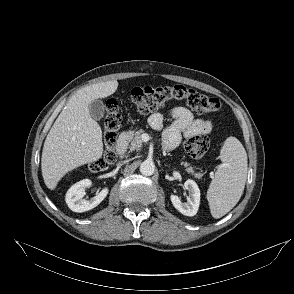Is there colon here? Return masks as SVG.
Listing matches in <instances>:
<instances>
[{
    "instance_id": "1",
    "label": "colon",
    "mask_w": 294,
    "mask_h": 294,
    "mask_svg": "<svg viewBox=\"0 0 294 294\" xmlns=\"http://www.w3.org/2000/svg\"><path fill=\"white\" fill-rule=\"evenodd\" d=\"M130 100L142 114L154 112L174 100L184 101L199 113H211L219 110L221 107L218 98L202 94L183 85L135 87L131 91ZM120 125L121 118L118 104L116 101L110 100L107 103L106 116L103 123V155L91 165L92 171H102L114 162L115 143ZM209 146V139L204 135L190 136L185 141L186 152L194 159L204 157L209 150Z\"/></svg>"
}]
</instances>
